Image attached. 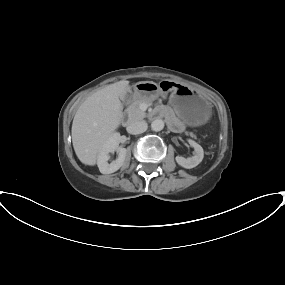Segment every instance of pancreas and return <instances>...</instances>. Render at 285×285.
<instances>
[{
    "label": "pancreas",
    "instance_id": "pancreas-1",
    "mask_svg": "<svg viewBox=\"0 0 285 285\" xmlns=\"http://www.w3.org/2000/svg\"><path fill=\"white\" fill-rule=\"evenodd\" d=\"M144 103L151 105V101L138 98L127 108L128 118L130 121L142 120L146 117V113L140 108L141 104ZM190 135L194 136L192 133Z\"/></svg>",
    "mask_w": 285,
    "mask_h": 285
}]
</instances>
